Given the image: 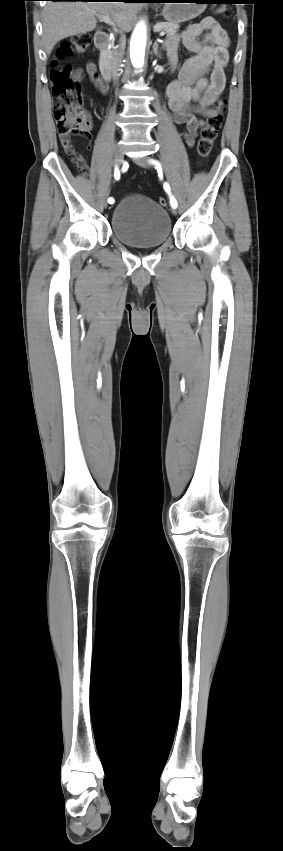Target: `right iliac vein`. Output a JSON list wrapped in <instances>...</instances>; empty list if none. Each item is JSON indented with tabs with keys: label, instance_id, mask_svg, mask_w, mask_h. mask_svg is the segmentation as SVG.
Masks as SVG:
<instances>
[{
	"label": "right iliac vein",
	"instance_id": "obj_1",
	"mask_svg": "<svg viewBox=\"0 0 283 851\" xmlns=\"http://www.w3.org/2000/svg\"><path fill=\"white\" fill-rule=\"evenodd\" d=\"M123 157H124V156H123V151H122V149H121V148H117V149H116V152H115V165H116L117 167H119V166L122 164ZM108 196H109V190L105 193V198H104V206H105V207H107V205H108V204H107Z\"/></svg>",
	"mask_w": 283,
	"mask_h": 851
}]
</instances>
